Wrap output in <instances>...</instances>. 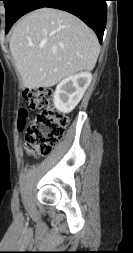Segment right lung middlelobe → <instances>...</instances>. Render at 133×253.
<instances>
[{"instance_id":"obj_1","label":"right lung middle lobe","mask_w":133,"mask_h":253,"mask_svg":"<svg viewBox=\"0 0 133 253\" xmlns=\"http://www.w3.org/2000/svg\"><path fill=\"white\" fill-rule=\"evenodd\" d=\"M6 10V33L9 31L14 22L18 20L19 10L24 0H2Z\"/></svg>"}]
</instances>
